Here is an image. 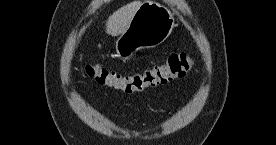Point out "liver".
Returning a JSON list of instances; mask_svg holds the SVG:
<instances>
[{
  "instance_id": "1",
  "label": "liver",
  "mask_w": 276,
  "mask_h": 145,
  "mask_svg": "<svg viewBox=\"0 0 276 145\" xmlns=\"http://www.w3.org/2000/svg\"><path fill=\"white\" fill-rule=\"evenodd\" d=\"M141 3L140 0H134L110 15L106 22V33L118 36L125 32Z\"/></svg>"
}]
</instances>
